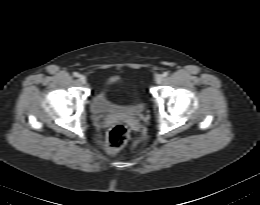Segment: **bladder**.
I'll use <instances>...</instances> for the list:
<instances>
[{
    "label": "bladder",
    "mask_w": 260,
    "mask_h": 205,
    "mask_svg": "<svg viewBox=\"0 0 260 205\" xmlns=\"http://www.w3.org/2000/svg\"><path fill=\"white\" fill-rule=\"evenodd\" d=\"M119 83L120 79L118 77H111L97 87L91 100V111L94 115L101 117L117 114L138 115L143 111L144 105L142 102L121 105L110 99L108 90L111 87L117 86Z\"/></svg>",
    "instance_id": "obj_1"
}]
</instances>
